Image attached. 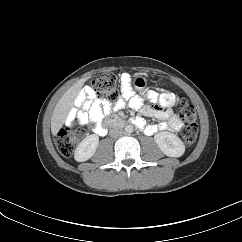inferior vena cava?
Segmentation results:
<instances>
[{"label": "inferior vena cava", "mask_w": 242, "mask_h": 242, "mask_svg": "<svg viewBox=\"0 0 242 242\" xmlns=\"http://www.w3.org/2000/svg\"><path fill=\"white\" fill-rule=\"evenodd\" d=\"M122 134H123V130L121 128L116 127L110 130V136L113 138H117Z\"/></svg>", "instance_id": "1"}]
</instances>
